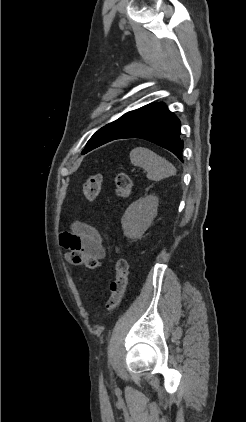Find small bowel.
<instances>
[{"label": "small bowel", "mask_w": 246, "mask_h": 422, "mask_svg": "<svg viewBox=\"0 0 246 422\" xmlns=\"http://www.w3.org/2000/svg\"><path fill=\"white\" fill-rule=\"evenodd\" d=\"M59 239L62 247L69 251L79 250L97 261L105 257L99 232L86 222H75L71 231L61 233Z\"/></svg>", "instance_id": "1"}]
</instances>
